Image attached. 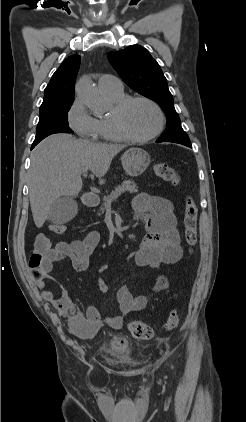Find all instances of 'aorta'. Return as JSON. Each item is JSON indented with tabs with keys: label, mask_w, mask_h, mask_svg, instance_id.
Listing matches in <instances>:
<instances>
[{
	"label": "aorta",
	"mask_w": 246,
	"mask_h": 422,
	"mask_svg": "<svg viewBox=\"0 0 246 422\" xmlns=\"http://www.w3.org/2000/svg\"><path fill=\"white\" fill-rule=\"evenodd\" d=\"M76 94L94 113L102 111V97L89 78H82L76 84Z\"/></svg>",
	"instance_id": "aorta-1"
}]
</instances>
